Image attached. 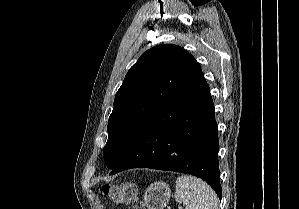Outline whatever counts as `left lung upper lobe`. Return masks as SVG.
Here are the masks:
<instances>
[{
	"label": "left lung upper lobe",
	"mask_w": 299,
	"mask_h": 209,
	"mask_svg": "<svg viewBox=\"0 0 299 209\" xmlns=\"http://www.w3.org/2000/svg\"><path fill=\"white\" fill-rule=\"evenodd\" d=\"M202 72L180 46L162 44L141 55L116 93L103 157L114 168L157 111Z\"/></svg>",
	"instance_id": "left-lung-upper-lobe-1"
}]
</instances>
